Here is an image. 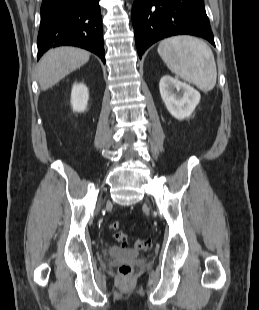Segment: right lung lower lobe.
<instances>
[{"mask_svg": "<svg viewBox=\"0 0 259 310\" xmlns=\"http://www.w3.org/2000/svg\"><path fill=\"white\" fill-rule=\"evenodd\" d=\"M99 0H42L38 59L50 48L87 49L105 63Z\"/></svg>", "mask_w": 259, "mask_h": 310, "instance_id": "obj_1", "label": "right lung lower lobe"}]
</instances>
